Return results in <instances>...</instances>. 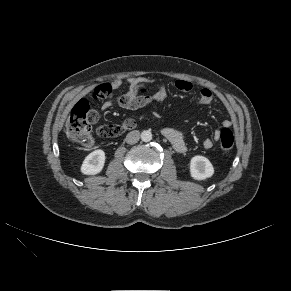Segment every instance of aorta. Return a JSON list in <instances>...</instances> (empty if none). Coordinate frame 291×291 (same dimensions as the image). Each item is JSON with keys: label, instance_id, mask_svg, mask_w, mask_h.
<instances>
[{"label": "aorta", "instance_id": "obj_1", "mask_svg": "<svg viewBox=\"0 0 291 291\" xmlns=\"http://www.w3.org/2000/svg\"><path fill=\"white\" fill-rule=\"evenodd\" d=\"M141 140L143 142H149L152 140V133L150 130H144L142 133H141Z\"/></svg>", "mask_w": 291, "mask_h": 291}]
</instances>
